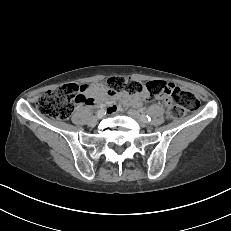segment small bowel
Returning a JSON list of instances; mask_svg holds the SVG:
<instances>
[{
	"instance_id": "1",
	"label": "small bowel",
	"mask_w": 231,
	"mask_h": 231,
	"mask_svg": "<svg viewBox=\"0 0 231 231\" xmlns=\"http://www.w3.org/2000/svg\"><path fill=\"white\" fill-rule=\"evenodd\" d=\"M80 91L84 96V101L79 102L80 104H86L91 107H96L103 103H110L114 100H119L123 105H132L137 108H141L145 95H136L132 97L120 96L115 92L108 90L105 86L100 83L97 84H83L80 86ZM159 100H162L166 103L168 100L167 95H161L157 97ZM108 110L113 113L118 110V107L115 105H110Z\"/></svg>"
}]
</instances>
